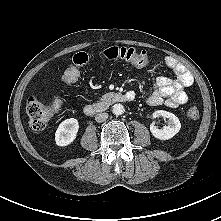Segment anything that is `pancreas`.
Masks as SVG:
<instances>
[{"label": "pancreas", "mask_w": 221, "mask_h": 221, "mask_svg": "<svg viewBox=\"0 0 221 221\" xmlns=\"http://www.w3.org/2000/svg\"><path fill=\"white\" fill-rule=\"evenodd\" d=\"M114 97L113 93H107L101 97V101L106 102Z\"/></svg>", "instance_id": "1"}]
</instances>
